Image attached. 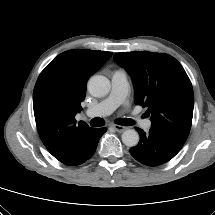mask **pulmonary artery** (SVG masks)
I'll list each match as a JSON object with an SVG mask.
<instances>
[{"label": "pulmonary artery", "mask_w": 215, "mask_h": 215, "mask_svg": "<svg viewBox=\"0 0 215 215\" xmlns=\"http://www.w3.org/2000/svg\"><path fill=\"white\" fill-rule=\"evenodd\" d=\"M128 94L127 73L124 70H116L111 78V92L107 98L86 110L88 117H102L112 113L119 105L126 101ZM142 126L149 129L151 122L142 121Z\"/></svg>", "instance_id": "1"}]
</instances>
